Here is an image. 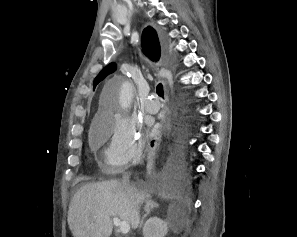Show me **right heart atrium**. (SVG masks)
<instances>
[{"instance_id":"right-heart-atrium-1","label":"right heart atrium","mask_w":297,"mask_h":237,"mask_svg":"<svg viewBox=\"0 0 297 237\" xmlns=\"http://www.w3.org/2000/svg\"><path fill=\"white\" fill-rule=\"evenodd\" d=\"M95 128V142L106 144L104 161L110 171L118 172L141 159L144 140L136 121L109 110L99 116Z\"/></svg>"}]
</instances>
